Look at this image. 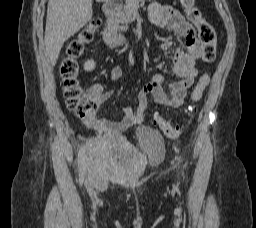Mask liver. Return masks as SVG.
Here are the masks:
<instances>
[{
	"instance_id": "liver-1",
	"label": "liver",
	"mask_w": 256,
	"mask_h": 228,
	"mask_svg": "<svg viewBox=\"0 0 256 228\" xmlns=\"http://www.w3.org/2000/svg\"><path fill=\"white\" fill-rule=\"evenodd\" d=\"M92 15V0H49L45 47L52 66L56 64L63 44L83 28Z\"/></svg>"
}]
</instances>
